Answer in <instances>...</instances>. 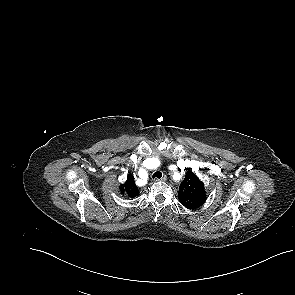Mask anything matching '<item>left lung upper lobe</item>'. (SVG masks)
<instances>
[{"label":"left lung upper lobe","mask_w":295,"mask_h":295,"mask_svg":"<svg viewBox=\"0 0 295 295\" xmlns=\"http://www.w3.org/2000/svg\"><path fill=\"white\" fill-rule=\"evenodd\" d=\"M178 198L180 203L188 209H197L206 201L204 184L191 170L186 172L179 186Z\"/></svg>","instance_id":"1"}]
</instances>
